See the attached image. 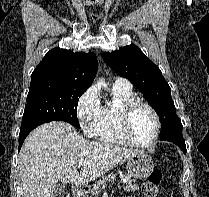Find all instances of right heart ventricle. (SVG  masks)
I'll return each instance as SVG.
<instances>
[{
	"mask_svg": "<svg viewBox=\"0 0 209 197\" xmlns=\"http://www.w3.org/2000/svg\"><path fill=\"white\" fill-rule=\"evenodd\" d=\"M114 103L103 107V117L98 128L97 136L103 142L126 143L119 127V107L134 98L132 88L114 87Z\"/></svg>",
	"mask_w": 209,
	"mask_h": 197,
	"instance_id": "right-heart-ventricle-1",
	"label": "right heart ventricle"
}]
</instances>
